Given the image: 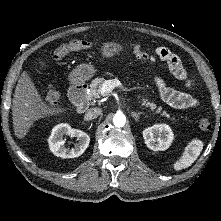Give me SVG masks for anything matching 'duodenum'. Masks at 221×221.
<instances>
[{
	"label": "duodenum",
	"mask_w": 221,
	"mask_h": 221,
	"mask_svg": "<svg viewBox=\"0 0 221 221\" xmlns=\"http://www.w3.org/2000/svg\"><path fill=\"white\" fill-rule=\"evenodd\" d=\"M87 90V84L82 81H75L70 87L69 97L76 105L79 113L85 112L88 108Z\"/></svg>",
	"instance_id": "duodenum-1"
}]
</instances>
